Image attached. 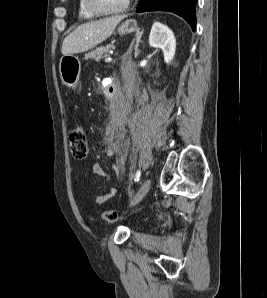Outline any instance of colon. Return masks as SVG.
<instances>
[{
  "label": "colon",
  "instance_id": "1",
  "mask_svg": "<svg viewBox=\"0 0 267 298\" xmlns=\"http://www.w3.org/2000/svg\"><path fill=\"white\" fill-rule=\"evenodd\" d=\"M69 146L73 157L77 160L85 159L88 155V143L85 128L82 125L75 127L69 134ZM121 217L116 210H108L103 213V219L115 222Z\"/></svg>",
  "mask_w": 267,
  "mask_h": 298
}]
</instances>
